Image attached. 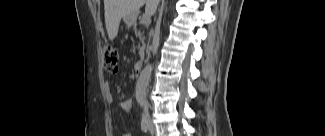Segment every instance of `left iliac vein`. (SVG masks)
Returning <instances> with one entry per match:
<instances>
[{
	"label": "left iliac vein",
	"mask_w": 325,
	"mask_h": 136,
	"mask_svg": "<svg viewBox=\"0 0 325 136\" xmlns=\"http://www.w3.org/2000/svg\"><path fill=\"white\" fill-rule=\"evenodd\" d=\"M148 121H149V124H148L149 131H150L151 133H153L154 130H155L154 125H153V123H152V121H151L150 119H148Z\"/></svg>",
	"instance_id": "4c4485c4"
}]
</instances>
